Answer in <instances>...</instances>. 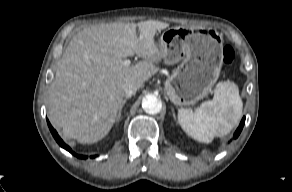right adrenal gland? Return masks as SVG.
Wrapping results in <instances>:
<instances>
[{"mask_svg":"<svg viewBox=\"0 0 292 192\" xmlns=\"http://www.w3.org/2000/svg\"><path fill=\"white\" fill-rule=\"evenodd\" d=\"M126 101H127V98L124 99L123 104H122V107L119 110V113H118V116H117V119H116L117 122H119L122 119V108L124 107Z\"/></svg>","mask_w":292,"mask_h":192,"instance_id":"2a0ac1e0","label":"right adrenal gland"}]
</instances>
